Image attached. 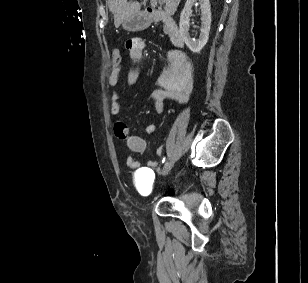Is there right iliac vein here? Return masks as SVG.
Wrapping results in <instances>:
<instances>
[{"mask_svg": "<svg viewBox=\"0 0 308 283\" xmlns=\"http://www.w3.org/2000/svg\"><path fill=\"white\" fill-rule=\"evenodd\" d=\"M171 166H172V159H169V160L166 162V164H165V166H164V168H163L162 174H163V175H167L168 172H169V170H170V168H171Z\"/></svg>", "mask_w": 308, "mask_h": 283, "instance_id": "right-iliac-vein-1", "label": "right iliac vein"}]
</instances>
